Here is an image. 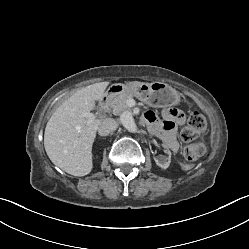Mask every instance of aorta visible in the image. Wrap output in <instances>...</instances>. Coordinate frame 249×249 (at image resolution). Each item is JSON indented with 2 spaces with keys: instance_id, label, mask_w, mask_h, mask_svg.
<instances>
[{
  "instance_id": "762f6f07",
  "label": "aorta",
  "mask_w": 249,
  "mask_h": 249,
  "mask_svg": "<svg viewBox=\"0 0 249 249\" xmlns=\"http://www.w3.org/2000/svg\"><path fill=\"white\" fill-rule=\"evenodd\" d=\"M121 123L129 132L136 131V124L130 112H124L121 115Z\"/></svg>"
}]
</instances>
